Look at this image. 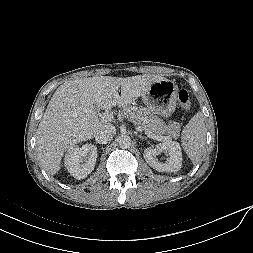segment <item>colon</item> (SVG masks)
Here are the masks:
<instances>
[{"label": "colon", "instance_id": "obj_1", "mask_svg": "<svg viewBox=\"0 0 253 253\" xmlns=\"http://www.w3.org/2000/svg\"><path fill=\"white\" fill-rule=\"evenodd\" d=\"M178 102L183 109H185V110L190 109L191 102H190L189 94L186 90L182 89L179 91Z\"/></svg>", "mask_w": 253, "mask_h": 253}]
</instances>
